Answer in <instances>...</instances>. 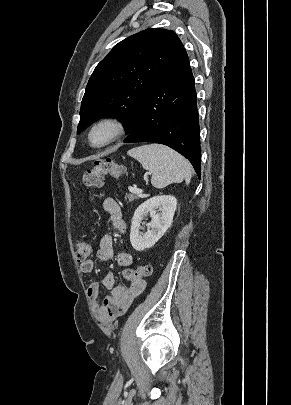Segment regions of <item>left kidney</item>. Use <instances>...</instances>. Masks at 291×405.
Returning <instances> with one entry per match:
<instances>
[{
    "label": "left kidney",
    "instance_id": "left-kidney-1",
    "mask_svg": "<svg viewBox=\"0 0 291 405\" xmlns=\"http://www.w3.org/2000/svg\"><path fill=\"white\" fill-rule=\"evenodd\" d=\"M176 208L177 200L170 195L154 196L138 206L134 212L130 230L132 247L136 251L152 247L171 226ZM157 209L160 213H157ZM148 214L151 222L147 224L148 230L141 234V222Z\"/></svg>",
    "mask_w": 291,
    "mask_h": 405
}]
</instances>
